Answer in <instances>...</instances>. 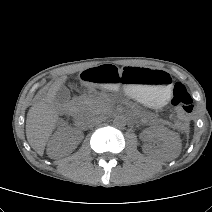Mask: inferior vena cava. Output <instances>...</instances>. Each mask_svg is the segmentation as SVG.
Returning <instances> with one entry per match:
<instances>
[{
  "instance_id": "1",
  "label": "inferior vena cava",
  "mask_w": 212,
  "mask_h": 212,
  "mask_svg": "<svg viewBox=\"0 0 212 212\" xmlns=\"http://www.w3.org/2000/svg\"><path fill=\"white\" fill-rule=\"evenodd\" d=\"M103 117L100 115H96V114H89L86 118H85V123L87 125H96L99 124L103 121Z\"/></svg>"
}]
</instances>
